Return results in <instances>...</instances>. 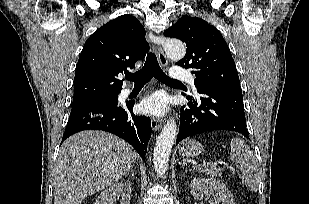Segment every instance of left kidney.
Segmentation results:
<instances>
[{
    "instance_id": "obj_1",
    "label": "left kidney",
    "mask_w": 309,
    "mask_h": 204,
    "mask_svg": "<svg viewBox=\"0 0 309 204\" xmlns=\"http://www.w3.org/2000/svg\"><path fill=\"white\" fill-rule=\"evenodd\" d=\"M191 194L194 199L201 200L204 197H212L216 203L236 204L229 189L214 178H194L190 184Z\"/></svg>"
}]
</instances>
